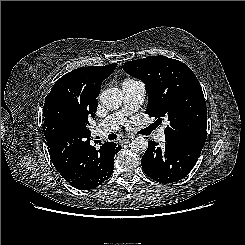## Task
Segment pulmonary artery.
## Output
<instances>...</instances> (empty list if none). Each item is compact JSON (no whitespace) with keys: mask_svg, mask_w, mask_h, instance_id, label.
I'll return each mask as SVG.
<instances>
[{"mask_svg":"<svg viewBox=\"0 0 245 245\" xmlns=\"http://www.w3.org/2000/svg\"><path fill=\"white\" fill-rule=\"evenodd\" d=\"M123 91V109L109 115L103 121L100 122L97 128V133L100 135H106L118 130L124 123L126 117L136 111L144 101L145 85L138 80H125L122 82ZM155 140L159 143L164 142V127L160 128L156 135Z\"/></svg>","mask_w":245,"mask_h":245,"instance_id":"obj_1","label":"pulmonary artery"}]
</instances>
